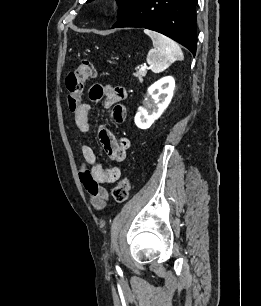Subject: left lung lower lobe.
Instances as JSON below:
<instances>
[{
    "instance_id": "1",
    "label": "left lung lower lobe",
    "mask_w": 261,
    "mask_h": 306,
    "mask_svg": "<svg viewBox=\"0 0 261 306\" xmlns=\"http://www.w3.org/2000/svg\"><path fill=\"white\" fill-rule=\"evenodd\" d=\"M196 3L197 0H136L112 28L154 30L182 44L195 55Z\"/></svg>"
}]
</instances>
